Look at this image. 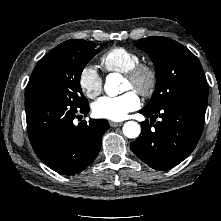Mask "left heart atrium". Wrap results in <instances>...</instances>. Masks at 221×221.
Instances as JSON below:
<instances>
[{"label":"left heart atrium","mask_w":221,"mask_h":221,"mask_svg":"<svg viewBox=\"0 0 221 221\" xmlns=\"http://www.w3.org/2000/svg\"><path fill=\"white\" fill-rule=\"evenodd\" d=\"M140 99L134 91H128L120 96H103L92 107L93 113L98 118L120 121L128 113L138 109Z\"/></svg>","instance_id":"39dd6f15"}]
</instances>
